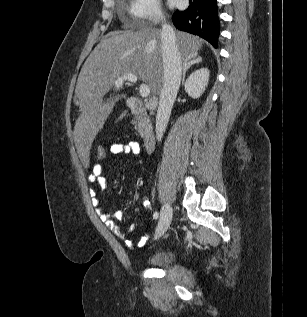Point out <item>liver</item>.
Here are the masks:
<instances>
[{
  "mask_svg": "<svg viewBox=\"0 0 307 317\" xmlns=\"http://www.w3.org/2000/svg\"><path fill=\"white\" fill-rule=\"evenodd\" d=\"M161 31L147 27L110 32L85 61L75 89L74 103L81 114L73 133L76 153L85 168L92 161L90 146L119 100V96L103 100L115 81L125 74H133L148 85L153 95L160 93L163 85ZM175 36L183 60L197 55L203 46L198 36L181 31H176Z\"/></svg>",
  "mask_w": 307,
  "mask_h": 317,
  "instance_id": "liver-1",
  "label": "liver"
}]
</instances>
